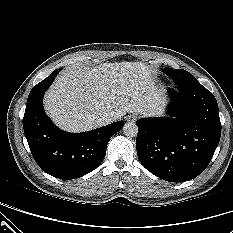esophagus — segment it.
<instances>
[{
    "instance_id": "1",
    "label": "esophagus",
    "mask_w": 233,
    "mask_h": 233,
    "mask_svg": "<svg viewBox=\"0 0 233 233\" xmlns=\"http://www.w3.org/2000/svg\"><path fill=\"white\" fill-rule=\"evenodd\" d=\"M136 119H137V116L135 114H130V115L126 116V120L128 122H134V121H136Z\"/></svg>"
}]
</instances>
